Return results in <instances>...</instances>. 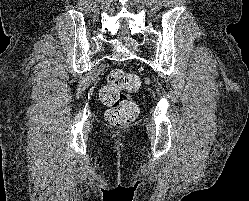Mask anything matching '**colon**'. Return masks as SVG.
Wrapping results in <instances>:
<instances>
[{
	"label": "colon",
	"mask_w": 249,
	"mask_h": 201,
	"mask_svg": "<svg viewBox=\"0 0 249 201\" xmlns=\"http://www.w3.org/2000/svg\"><path fill=\"white\" fill-rule=\"evenodd\" d=\"M138 87V77L122 69H114L108 74L107 83L100 91V99L108 107L106 121L110 126L123 128L137 118L138 106L127 92Z\"/></svg>",
	"instance_id": "obj_1"
}]
</instances>
